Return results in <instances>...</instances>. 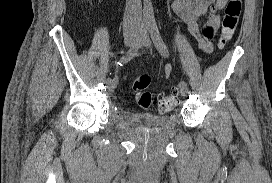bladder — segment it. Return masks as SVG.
I'll list each match as a JSON object with an SVG mask.
<instances>
[{
	"label": "bladder",
	"instance_id": "31cf9c89",
	"mask_svg": "<svg viewBox=\"0 0 272 183\" xmlns=\"http://www.w3.org/2000/svg\"><path fill=\"white\" fill-rule=\"evenodd\" d=\"M125 121L129 128L147 133H159L168 127L170 119L167 116H156L150 113L125 112Z\"/></svg>",
	"mask_w": 272,
	"mask_h": 183
}]
</instances>
